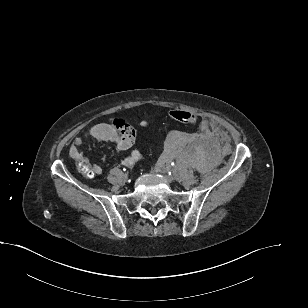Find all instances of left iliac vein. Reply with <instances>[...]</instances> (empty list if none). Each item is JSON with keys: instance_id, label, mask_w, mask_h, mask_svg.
<instances>
[{"instance_id": "left-iliac-vein-1", "label": "left iliac vein", "mask_w": 308, "mask_h": 308, "mask_svg": "<svg viewBox=\"0 0 308 308\" xmlns=\"http://www.w3.org/2000/svg\"><path fill=\"white\" fill-rule=\"evenodd\" d=\"M156 171H157V172H160V173H163L164 176H165V178H166V180H167L168 182H170V183L174 182L175 177L172 176V175L167 174L168 168H165V167H162V166H157V167H156Z\"/></svg>"}]
</instances>
